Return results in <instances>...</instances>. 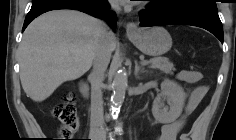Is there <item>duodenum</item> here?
I'll use <instances>...</instances> for the list:
<instances>
[{
	"label": "duodenum",
	"instance_id": "duodenum-1",
	"mask_svg": "<svg viewBox=\"0 0 236 140\" xmlns=\"http://www.w3.org/2000/svg\"><path fill=\"white\" fill-rule=\"evenodd\" d=\"M80 90L85 97L88 96V86L85 82L80 83Z\"/></svg>",
	"mask_w": 236,
	"mask_h": 140
}]
</instances>
